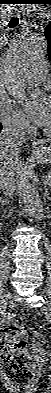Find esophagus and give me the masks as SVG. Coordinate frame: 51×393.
Segmentation results:
<instances>
[{"instance_id": "1", "label": "esophagus", "mask_w": 51, "mask_h": 393, "mask_svg": "<svg viewBox=\"0 0 51 393\" xmlns=\"http://www.w3.org/2000/svg\"><path fill=\"white\" fill-rule=\"evenodd\" d=\"M42 147V141L41 140H37L33 143V152L39 150Z\"/></svg>"}]
</instances>
